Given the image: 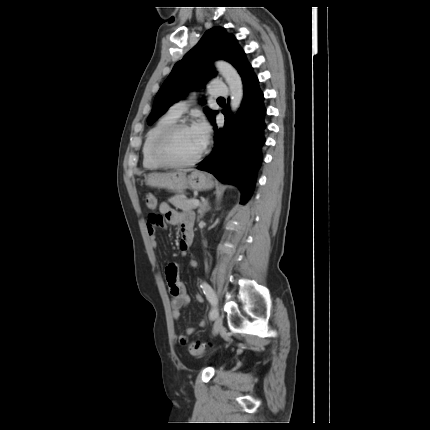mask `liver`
<instances>
[{"instance_id": "6515ba94", "label": "liver", "mask_w": 430, "mask_h": 430, "mask_svg": "<svg viewBox=\"0 0 430 430\" xmlns=\"http://www.w3.org/2000/svg\"><path fill=\"white\" fill-rule=\"evenodd\" d=\"M181 171L184 172V173H186V172L192 171V169H184V170H181Z\"/></svg>"}]
</instances>
